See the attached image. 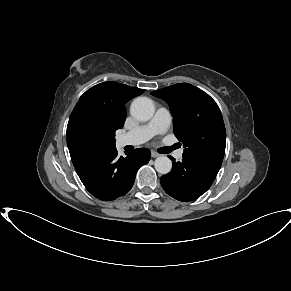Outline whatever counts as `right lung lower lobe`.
Masks as SVG:
<instances>
[{
	"instance_id": "obj_1",
	"label": "right lung lower lobe",
	"mask_w": 291,
	"mask_h": 291,
	"mask_svg": "<svg viewBox=\"0 0 291 291\" xmlns=\"http://www.w3.org/2000/svg\"><path fill=\"white\" fill-rule=\"evenodd\" d=\"M75 170L86 187L96 198L111 201L125 195L133 186L138 169L149 162L148 149L126 152L118 156L115 146H100L91 141L67 140Z\"/></svg>"
}]
</instances>
